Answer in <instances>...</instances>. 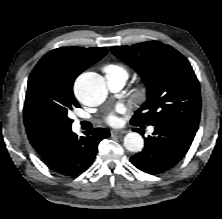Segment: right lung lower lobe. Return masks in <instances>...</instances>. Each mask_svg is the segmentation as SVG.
I'll return each instance as SVG.
<instances>
[{
    "instance_id": "98d812e1",
    "label": "right lung lower lobe",
    "mask_w": 222,
    "mask_h": 219,
    "mask_svg": "<svg viewBox=\"0 0 222 219\" xmlns=\"http://www.w3.org/2000/svg\"><path fill=\"white\" fill-rule=\"evenodd\" d=\"M78 137L72 131L61 141L56 152L45 160L49 168L66 176H76L94 161L99 142L110 136L107 129L95 128Z\"/></svg>"
}]
</instances>
